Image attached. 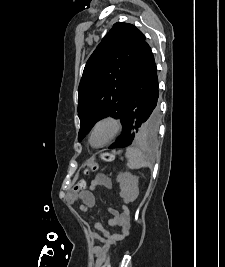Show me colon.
Wrapping results in <instances>:
<instances>
[{"instance_id":"1","label":"colon","mask_w":225,"mask_h":267,"mask_svg":"<svg viewBox=\"0 0 225 267\" xmlns=\"http://www.w3.org/2000/svg\"><path fill=\"white\" fill-rule=\"evenodd\" d=\"M101 158L104 159V160H107V161L112 159L111 155H109V154H102ZM96 168H97L96 164L92 163V164L89 165L88 168H86L85 172L86 173H90V172L94 171ZM85 188H86L85 180H80L74 186V192L81 193V192H83L85 190ZM110 259H111V255L108 254L107 258H106V260H105V262L103 264V267H111Z\"/></svg>"}]
</instances>
